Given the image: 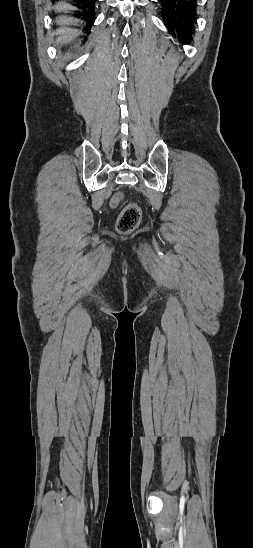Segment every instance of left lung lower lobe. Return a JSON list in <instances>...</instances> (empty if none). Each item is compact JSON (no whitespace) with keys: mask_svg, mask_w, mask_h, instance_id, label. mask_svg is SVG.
<instances>
[{"mask_svg":"<svg viewBox=\"0 0 253 548\" xmlns=\"http://www.w3.org/2000/svg\"><path fill=\"white\" fill-rule=\"evenodd\" d=\"M163 7V17L166 26L176 30L181 41L186 42L182 29L185 25L184 19H193L196 16L197 0H159Z\"/></svg>","mask_w":253,"mask_h":548,"instance_id":"left-lung-lower-lobe-1","label":"left lung lower lobe"}]
</instances>
